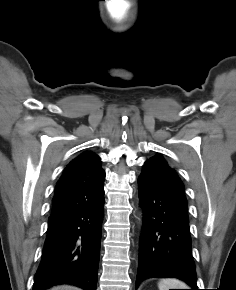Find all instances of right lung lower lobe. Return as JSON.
Listing matches in <instances>:
<instances>
[{"label":"right lung lower lobe","instance_id":"98d812e1","mask_svg":"<svg viewBox=\"0 0 236 290\" xmlns=\"http://www.w3.org/2000/svg\"><path fill=\"white\" fill-rule=\"evenodd\" d=\"M104 195L49 223L33 290L68 283L96 290Z\"/></svg>","mask_w":236,"mask_h":290}]
</instances>
